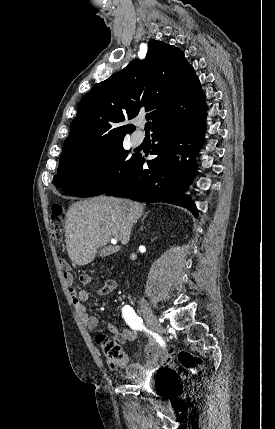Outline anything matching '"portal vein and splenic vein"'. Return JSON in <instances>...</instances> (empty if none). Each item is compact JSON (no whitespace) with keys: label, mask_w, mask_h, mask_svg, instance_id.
<instances>
[{"label":"portal vein and splenic vein","mask_w":275,"mask_h":429,"mask_svg":"<svg viewBox=\"0 0 275 429\" xmlns=\"http://www.w3.org/2000/svg\"><path fill=\"white\" fill-rule=\"evenodd\" d=\"M113 240L117 241V240H118V237H114V238H113Z\"/></svg>","instance_id":"portal-vein-and-splenic-vein-1"}]
</instances>
